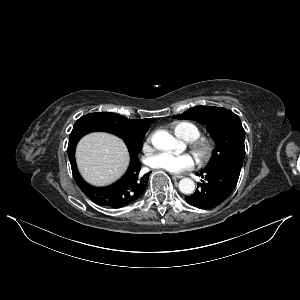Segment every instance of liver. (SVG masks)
<instances>
[{
    "instance_id": "liver-1",
    "label": "liver",
    "mask_w": 300,
    "mask_h": 300,
    "mask_svg": "<svg viewBox=\"0 0 300 300\" xmlns=\"http://www.w3.org/2000/svg\"><path fill=\"white\" fill-rule=\"evenodd\" d=\"M76 161L88 183L104 186L124 174L129 164V153L120 138L108 133H91L78 143Z\"/></svg>"
}]
</instances>
